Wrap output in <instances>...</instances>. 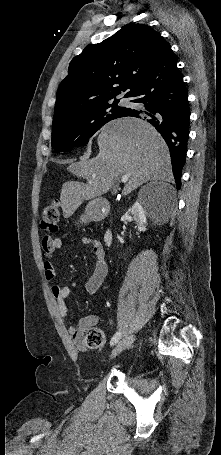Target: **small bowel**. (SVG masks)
<instances>
[{
	"label": "small bowel",
	"instance_id": "1",
	"mask_svg": "<svg viewBox=\"0 0 221 455\" xmlns=\"http://www.w3.org/2000/svg\"><path fill=\"white\" fill-rule=\"evenodd\" d=\"M66 240L62 238H53L46 236L42 240V247L45 256L47 257L46 260L43 261V272L44 278L51 282L55 278V268L53 263L49 260L50 257L59 249ZM70 243L80 242L83 244H92L94 253L97 257V263L95 270L89 280L86 283V290L90 294L96 293V291L100 288V286L104 283L107 279L108 268L107 263L105 260V250L103 245L93 239L89 238H76L71 237L67 240ZM51 292L57 302L58 312L61 317L66 318L68 316V307L66 304V300L70 294V287L67 284H53L51 285ZM96 320L92 317H84L82 318L78 324H70L68 331L73 338L74 344L80 351H85V340H84V332L86 329L90 328L93 324H95Z\"/></svg>",
	"mask_w": 221,
	"mask_h": 455
}]
</instances>
